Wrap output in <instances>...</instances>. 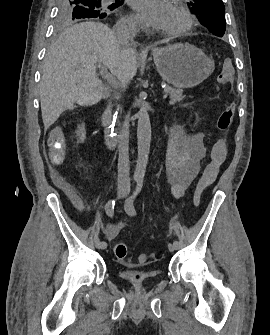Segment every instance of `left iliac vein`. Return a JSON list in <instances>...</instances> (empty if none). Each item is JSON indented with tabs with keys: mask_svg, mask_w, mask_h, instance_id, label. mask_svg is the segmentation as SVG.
<instances>
[{
	"mask_svg": "<svg viewBox=\"0 0 270 335\" xmlns=\"http://www.w3.org/2000/svg\"><path fill=\"white\" fill-rule=\"evenodd\" d=\"M168 249H169L171 252H173V251H175L177 248H176L173 244L169 243V244H168Z\"/></svg>",
	"mask_w": 270,
	"mask_h": 335,
	"instance_id": "obj_1",
	"label": "left iliac vein"
}]
</instances>
